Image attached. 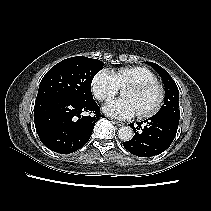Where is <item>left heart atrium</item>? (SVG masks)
Returning a JSON list of instances; mask_svg holds the SVG:
<instances>
[{"label": "left heart atrium", "instance_id": "left-heart-atrium-1", "mask_svg": "<svg viewBox=\"0 0 211 211\" xmlns=\"http://www.w3.org/2000/svg\"><path fill=\"white\" fill-rule=\"evenodd\" d=\"M103 111L110 117L129 119L138 114L135 104L130 99H118L107 103Z\"/></svg>", "mask_w": 211, "mask_h": 211}]
</instances>
